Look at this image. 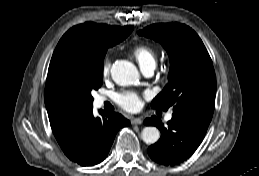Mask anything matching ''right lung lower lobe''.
I'll list each match as a JSON object with an SVG mask.
<instances>
[{"mask_svg":"<svg viewBox=\"0 0 259 176\" xmlns=\"http://www.w3.org/2000/svg\"><path fill=\"white\" fill-rule=\"evenodd\" d=\"M100 114L101 117H94L91 107L53 130L65 155L81 166L103 161L118 130L130 124L118 113L100 111Z\"/></svg>","mask_w":259,"mask_h":176,"instance_id":"98d812e1","label":"right lung lower lobe"}]
</instances>
